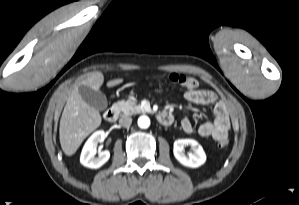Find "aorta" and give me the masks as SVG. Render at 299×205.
I'll use <instances>...</instances> for the list:
<instances>
[{
	"mask_svg": "<svg viewBox=\"0 0 299 205\" xmlns=\"http://www.w3.org/2000/svg\"><path fill=\"white\" fill-rule=\"evenodd\" d=\"M150 125V119L147 116H141L138 119V126L140 128H148Z\"/></svg>",
	"mask_w": 299,
	"mask_h": 205,
	"instance_id": "aorta-1",
	"label": "aorta"
}]
</instances>
